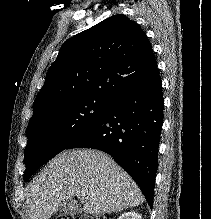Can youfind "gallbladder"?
Masks as SVG:
<instances>
[{
	"instance_id": "bac80fb5",
	"label": "gallbladder",
	"mask_w": 211,
	"mask_h": 219,
	"mask_svg": "<svg viewBox=\"0 0 211 219\" xmlns=\"http://www.w3.org/2000/svg\"><path fill=\"white\" fill-rule=\"evenodd\" d=\"M58 210L64 212L67 215H74L81 212L80 205L73 199L63 201L60 204Z\"/></svg>"
}]
</instances>
